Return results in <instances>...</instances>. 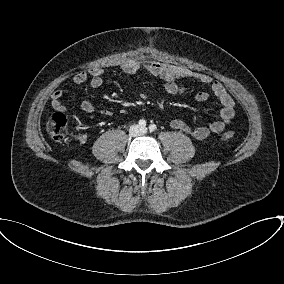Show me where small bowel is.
<instances>
[{"mask_svg": "<svg viewBox=\"0 0 284 284\" xmlns=\"http://www.w3.org/2000/svg\"><path fill=\"white\" fill-rule=\"evenodd\" d=\"M121 69L127 74H134L141 70H146L154 76H158L164 80V89L171 95H179L184 93L185 88L179 84V80L184 78H194L202 84L210 87V93L214 95L221 104L219 119L209 122L208 124L193 127L183 120L174 119L170 126L178 131L184 132L196 140H204L211 134L221 133L234 117L235 102L226 88L219 82L213 81L212 77L193 72L189 69L166 64L158 61H137L130 60L122 64ZM104 69L101 67H93L88 72H79L74 75L73 81L76 84H81L90 78V86L97 89L103 84ZM207 91H201L196 95L198 101H205L210 96ZM64 91L56 89L51 95V106L55 111L65 112L67 106L62 102ZM81 109L92 114L96 111L94 105L87 99L82 100ZM105 115H110L108 111H102Z\"/></svg>", "mask_w": 284, "mask_h": 284, "instance_id": "c3829d8e", "label": "small bowel"}]
</instances>
